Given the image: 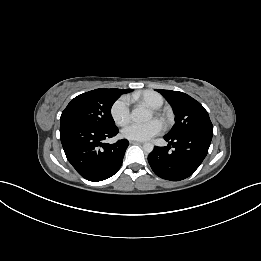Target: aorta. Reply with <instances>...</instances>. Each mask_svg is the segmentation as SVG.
I'll list each match as a JSON object with an SVG mask.
<instances>
[{
	"label": "aorta",
	"mask_w": 261,
	"mask_h": 261,
	"mask_svg": "<svg viewBox=\"0 0 261 261\" xmlns=\"http://www.w3.org/2000/svg\"><path fill=\"white\" fill-rule=\"evenodd\" d=\"M131 118L135 122H145L151 118V112L144 107H136L132 110ZM154 145L150 142L143 144V150L146 153H151Z\"/></svg>",
	"instance_id": "obj_1"
}]
</instances>
